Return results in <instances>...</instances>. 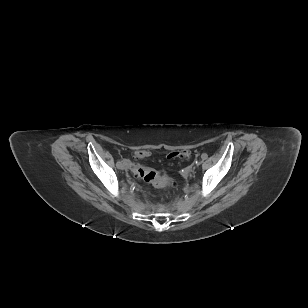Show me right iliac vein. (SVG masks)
<instances>
[{
	"label": "right iliac vein",
	"instance_id": "right-iliac-vein-1",
	"mask_svg": "<svg viewBox=\"0 0 308 308\" xmlns=\"http://www.w3.org/2000/svg\"><path fill=\"white\" fill-rule=\"evenodd\" d=\"M119 169L124 170L126 169V165L121 162V164L118 166Z\"/></svg>",
	"mask_w": 308,
	"mask_h": 308
}]
</instances>
